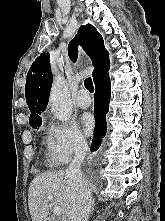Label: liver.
Masks as SVG:
<instances>
[{
	"label": "liver",
	"instance_id": "liver-1",
	"mask_svg": "<svg viewBox=\"0 0 165 221\" xmlns=\"http://www.w3.org/2000/svg\"><path fill=\"white\" fill-rule=\"evenodd\" d=\"M63 209V214L71 218L74 190L69 176L62 170L38 174L28 189V205L32 221H46L49 215L50 200Z\"/></svg>",
	"mask_w": 165,
	"mask_h": 221
}]
</instances>
